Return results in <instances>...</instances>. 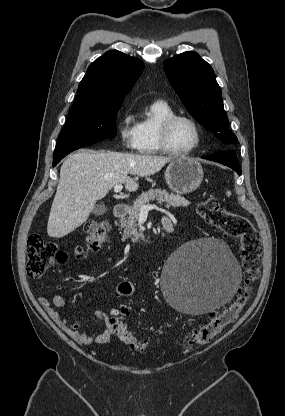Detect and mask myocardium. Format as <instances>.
Segmentation results:
<instances>
[{"mask_svg": "<svg viewBox=\"0 0 285 416\" xmlns=\"http://www.w3.org/2000/svg\"><path fill=\"white\" fill-rule=\"evenodd\" d=\"M179 119H184L186 121H188L194 128L195 130V134H196V142L194 144V146H192L191 148L184 150V151H178L175 150L171 143H170V139H169V134H170V130L172 125ZM159 141H160V145L161 148L163 150V152L171 155V156H175V157H184V156H189L193 153H195L202 142V134H201V129L200 126L198 124V122L192 118L191 116L187 115V114H180V113H174L168 117H166L159 126Z\"/></svg>", "mask_w": 285, "mask_h": 416, "instance_id": "1", "label": "myocardium"}]
</instances>
